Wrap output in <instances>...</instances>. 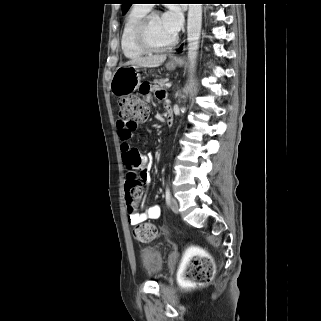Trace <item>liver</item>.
<instances>
[{
  "label": "liver",
  "instance_id": "liver-1",
  "mask_svg": "<svg viewBox=\"0 0 321 321\" xmlns=\"http://www.w3.org/2000/svg\"><path fill=\"white\" fill-rule=\"evenodd\" d=\"M166 60V55H153L138 57L126 62L124 65H134L137 67L155 68L159 67Z\"/></svg>",
  "mask_w": 321,
  "mask_h": 321
}]
</instances>
